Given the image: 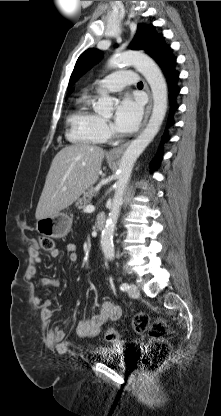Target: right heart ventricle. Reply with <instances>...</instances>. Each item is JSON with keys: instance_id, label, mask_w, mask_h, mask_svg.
<instances>
[{"instance_id": "right-heart-ventricle-1", "label": "right heart ventricle", "mask_w": 221, "mask_h": 416, "mask_svg": "<svg viewBox=\"0 0 221 416\" xmlns=\"http://www.w3.org/2000/svg\"><path fill=\"white\" fill-rule=\"evenodd\" d=\"M91 97H80L69 116L70 131L68 136L71 141L82 144H99L106 137L102 132V118L91 107Z\"/></svg>"}]
</instances>
